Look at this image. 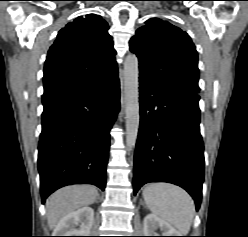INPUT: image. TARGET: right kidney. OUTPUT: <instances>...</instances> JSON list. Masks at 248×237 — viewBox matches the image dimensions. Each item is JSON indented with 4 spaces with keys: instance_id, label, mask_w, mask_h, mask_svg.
<instances>
[{
    "instance_id": "1",
    "label": "right kidney",
    "mask_w": 248,
    "mask_h": 237,
    "mask_svg": "<svg viewBox=\"0 0 248 237\" xmlns=\"http://www.w3.org/2000/svg\"><path fill=\"white\" fill-rule=\"evenodd\" d=\"M93 220V208L82 207L60 220L55 228L56 236H89Z\"/></svg>"
}]
</instances>
